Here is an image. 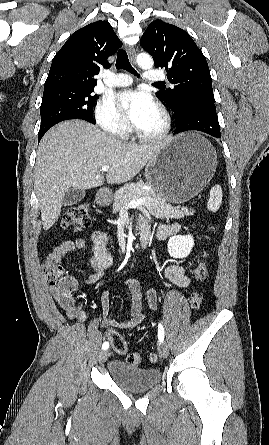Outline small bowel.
Instances as JSON below:
<instances>
[{
    "instance_id": "c3829d8e",
    "label": "small bowel",
    "mask_w": 269,
    "mask_h": 445,
    "mask_svg": "<svg viewBox=\"0 0 269 445\" xmlns=\"http://www.w3.org/2000/svg\"><path fill=\"white\" fill-rule=\"evenodd\" d=\"M140 233H149L151 235V222L147 219H141L139 221ZM180 226L177 223L173 224H160L156 231L158 239H166L170 236L179 234ZM108 236L107 233L98 229L92 234V248L90 250V263L93 273L86 279V284H94L105 273V271L112 266L113 257L107 249ZM76 250H88V243L83 238H77L75 240H68L60 245L56 246L52 253L47 257V260L51 263L58 264L63 258L70 255ZM166 277L175 285L181 288H188L190 285V279L186 275L184 269L177 264H170L165 268ZM68 278L75 284V280L72 277ZM122 284L125 285L132 294V301L129 309V318L126 321H118L117 319L109 315L110 300L109 292L103 291L100 294V308L102 315V325L108 328V332L111 328L119 329H133L142 323L145 319V315L141 313V290L142 286L139 281L134 278L128 277L122 280ZM53 296L60 307L64 310L67 317L71 320L84 322L87 319L86 311L83 308L82 303L76 302L71 294L68 295L69 301L66 302L63 299L64 293L59 289L52 290ZM148 302L151 308L155 307L156 292L154 289L148 291ZM107 332V333H108Z\"/></svg>"
}]
</instances>
